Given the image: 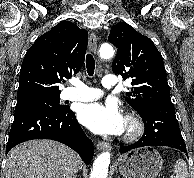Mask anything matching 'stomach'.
Instances as JSON below:
<instances>
[{
  "mask_svg": "<svg viewBox=\"0 0 194 178\" xmlns=\"http://www.w3.org/2000/svg\"><path fill=\"white\" fill-rule=\"evenodd\" d=\"M162 164L160 153L150 146L128 152L118 159L119 172L125 178H156Z\"/></svg>",
  "mask_w": 194,
  "mask_h": 178,
  "instance_id": "obj_1",
  "label": "stomach"
}]
</instances>
